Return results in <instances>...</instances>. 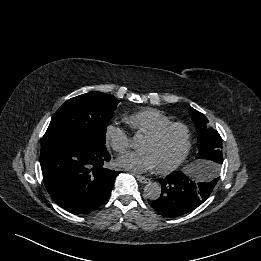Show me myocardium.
Returning <instances> with one entry per match:
<instances>
[{
	"label": "myocardium",
	"instance_id": "1",
	"mask_svg": "<svg viewBox=\"0 0 261 261\" xmlns=\"http://www.w3.org/2000/svg\"><path fill=\"white\" fill-rule=\"evenodd\" d=\"M179 128L184 132L185 135V146L180 154V156L171 164L164 166V167H157L156 170L159 173L167 174L175 169H177L188 157L191 148H192V133L188 125H186L183 122H170L168 124L163 125L156 131L146 135L147 139H150L152 141H158L160 140L167 132H169L171 129Z\"/></svg>",
	"mask_w": 261,
	"mask_h": 261
}]
</instances>
